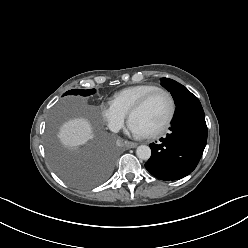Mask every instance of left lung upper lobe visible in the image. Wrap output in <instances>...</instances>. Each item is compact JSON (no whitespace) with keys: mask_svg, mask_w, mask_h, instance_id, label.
<instances>
[{"mask_svg":"<svg viewBox=\"0 0 248 248\" xmlns=\"http://www.w3.org/2000/svg\"><path fill=\"white\" fill-rule=\"evenodd\" d=\"M161 85L171 92L176 105L179 104L187 94L191 93L186 87L169 78H161Z\"/></svg>","mask_w":248,"mask_h":248,"instance_id":"left-lung-upper-lobe-1","label":"left lung upper lobe"}]
</instances>
